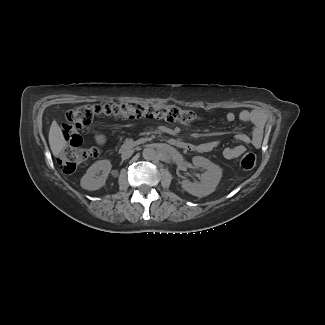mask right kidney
<instances>
[{"instance_id": "right-kidney-1", "label": "right kidney", "mask_w": 325, "mask_h": 325, "mask_svg": "<svg viewBox=\"0 0 325 325\" xmlns=\"http://www.w3.org/2000/svg\"><path fill=\"white\" fill-rule=\"evenodd\" d=\"M111 168L112 165L109 160L95 162L81 178V187L89 191L100 189L104 186Z\"/></svg>"}]
</instances>
